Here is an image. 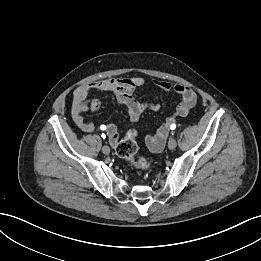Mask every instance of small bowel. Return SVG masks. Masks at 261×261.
I'll return each mask as SVG.
<instances>
[{
    "label": "small bowel",
    "instance_id": "1",
    "mask_svg": "<svg viewBox=\"0 0 261 261\" xmlns=\"http://www.w3.org/2000/svg\"><path fill=\"white\" fill-rule=\"evenodd\" d=\"M146 84L141 77L129 78H108L99 82L89 83L81 87L74 95L73 100V120L76 126L85 133H92L95 129L91 121H86L80 110L83 103L89 102V95L92 92L113 93L117 102L127 108L132 121H137L143 111L149 109L158 111L160 103L158 101L143 102L136 91ZM154 86L164 91H173L180 95L181 102L176 110V117H185L196 103V94L188 86L180 83H170L163 80H154ZM171 120L163 123L154 134L146 136V144L151 151L159 152L164 148ZM106 134L112 146H116L119 141L117 127L114 124L105 125Z\"/></svg>",
    "mask_w": 261,
    "mask_h": 261
}]
</instances>
